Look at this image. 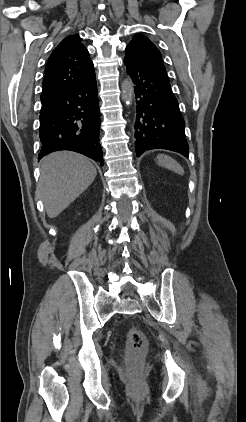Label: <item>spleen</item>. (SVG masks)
<instances>
[{"label":"spleen","instance_id":"obj_1","mask_svg":"<svg viewBox=\"0 0 246 422\" xmlns=\"http://www.w3.org/2000/svg\"><path fill=\"white\" fill-rule=\"evenodd\" d=\"M157 163L158 165L165 167L171 171H174L180 175L184 174V169L181 167V165L168 155L159 154L157 156Z\"/></svg>","mask_w":246,"mask_h":422}]
</instances>
